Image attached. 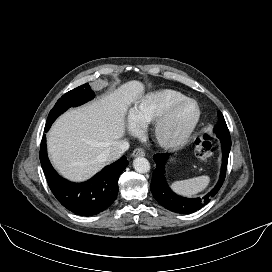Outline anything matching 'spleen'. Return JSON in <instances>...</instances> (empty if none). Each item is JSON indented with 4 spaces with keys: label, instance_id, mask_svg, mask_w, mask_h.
Masks as SVG:
<instances>
[{
    "label": "spleen",
    "instance_id": "spleen-1",
    "mask_svg": "<svg viewBox=\"0 0 272 272\" xmlns=\"http://www.w3.org/2000/svg\"><path fill=\"white\" fill-rule=\"evenodd\" d=\"M210 182L209 176H199L172 183V189L183 196H191L204 190Z\"/></svg>",
    "mask_w": 272,
    "mask_h": 272
}]
</instances>
